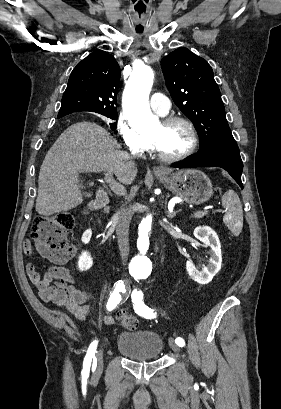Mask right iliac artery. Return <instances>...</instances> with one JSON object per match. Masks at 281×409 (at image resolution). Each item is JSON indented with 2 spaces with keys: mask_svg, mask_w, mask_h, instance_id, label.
Returning <instances> with one entry per match:
<instances>
[{
  "mask_svg": "<svg viewBox=\"0 0 281 409\" xmlns=\"http://www.w3.org/2000/svg\"><path fill=\"white\" fill-rule=\"evenodd\" d=\"M130 294V289L125 285L123 280H119L114 284V289L110 293V297L107 302V310H113L119 303L125 302ZM97 347V341L91 343L87 355L84 359L82 377L87 378L89 375V370L91 366L92 358L94 359V354ZM93 368H96V361L93 362Z\"/></svg>",
  "mask_w": 281,
  "mask_h": 409,
  "instance_id": "right-iliac-artery-1",
  "label": "right iliac artery"
}]
</instances>
